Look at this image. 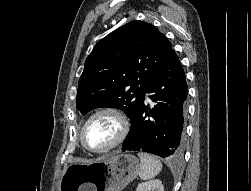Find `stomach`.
<instances>
[{
	"label": "stomach",
	"instance_id": "1",
	"mask_svg": "<svg viewBox=\"0 0 251 191\" xmlns=\"http://www.w3.org/2000/svg\"><path fill=\"white\" fill-rule=\"evenodd\" d=\"M139 159L131 153L101 155L92 163H70L59 191H121L139 173Z\"/></svg>",
	"mask_w": 251,
	"mask_h": 191
}]
</instances>
